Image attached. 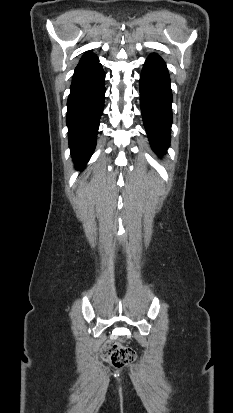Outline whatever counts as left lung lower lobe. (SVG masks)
Instances as JSON below:
<instances>
[{
    "label": "left lung lower lobe",
    "instance_id": "obj_1",
    "mask_svg": "<svg viewBox=\"0 0 233 413\" xmlns=\"http://www.w3.org/2000/svg\"><path fill=\"white\" fill-rule=\"evenodd\" d=\"M170 77L157 54L147 58L140 78V104L144 126L153 150L164 154L170 144L172 124Z\"/></svg>",
    "mask_w": 233,
    "mask_h": 413
}]
</instances>
